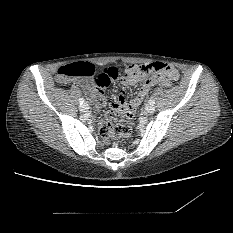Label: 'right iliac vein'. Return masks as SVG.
Masks as SVG:
<instances>
[{"mask_svg": "<svg viewBox=\"0 0 233 233\" xmlns=\"http://www.w3.org/2000/svg\"><path fill=\"white\" fill-rule=\"evenodd\" d=\"M80 111L81 112H87L89 110V106L88 104H82L80 107H79Z\"/></svg>", "mask_w": 233, "mask_h": 233, "instance_id": "1", "label": "right iliac vein"}]
</instances>
